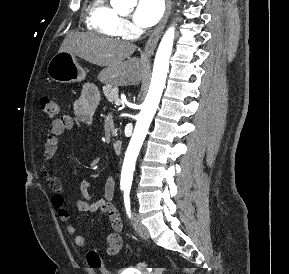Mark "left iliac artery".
I'll return each mask as SVG.
<instances>
[{"label":"left iliac artery","mask_w":289,"mask_h":274,"mask_svg":"<svg viewBox=\"0 0 289 274\" xmlns=\"http://www.w3.org/2000/svg\"><path fill=\"white\" fill-rule=\"evenodd\" d=\"M129 193H130V189L126 188L124 190V204H125L126 213H127L128 217L131 218Z\"/></svg>","instance_id":"left-iliac-artery-1"}]
</instances>
